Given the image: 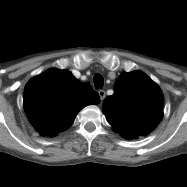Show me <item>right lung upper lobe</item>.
<instances>
[{"mask_svg":"<svg viewBox=\"0 0 187 187\" xmlns=\"http://www.w3.org/2000/svg\"><path fill=\"white\" fill-rule=\"evenodd\" d=\"M99 102L98 93L89 84L59 69L31 79L23 98L29 121L40 134L49 137L69 128L83 107Z\"/></svg>","mask_w":187,"mask_h":187,"instance_id":"cb5924a9","label":"right lung upper lobe"}]
</instances>
